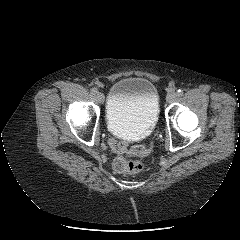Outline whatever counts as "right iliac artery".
Segmentation results:
<instances>
[{
  "instance_id": "1",
  "label": "right iliac artery",
  "mask_w": 240,
  "mask_h": 240,
  "mask_svg": "<svg viewBox=\"0 0 240 240\" xmlns=\"http://www.w3.org/2000/svg\"><path fill=\"white\" fill-rule=\"evenodd\" d=\"M91 93H92V94H96V93H97V89H96V88H92V89H91Z\"/></svg>"
}]
</instances>
